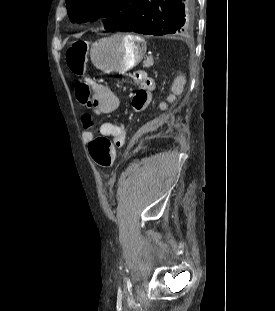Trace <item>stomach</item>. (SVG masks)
Returning <instances> with one entry per match:
<instances>
[{"label":"stomach","mask_w":275,"mask_h":311,"mask_svg":"<svg viewBox=\"0 0 275 311\" xmlns=\"http://www.w3.org/2000/svg\"><path fill=\"white\" fill-rule=\"evenodd\" d=\"M146 42L133 34H115L92 44V64L104 73L125 74L144 57Z\"/></svg>","instance_id":"obj_1"}]
</instances>
